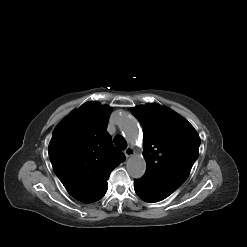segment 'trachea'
Returning <instances> with one entry per match:
<instances>
[{
    "instance_id": "3493384b",
    "label": "trachea",
    "mask_w": 247,
    "mask_h": 247,
    "mask_svg": "<svg viewBox=\"0 0 247 247\" xmlns=\"http://www.w3.org/2000/svg\"><path fill=\"white\" fill-rule=\"evenodd\" d=\"M114 144L117 148L121 149V150H124L126 147H127V142L126 140L120 136V135H117L115 138H114Z\"/></svg>"
}]
</instances>
